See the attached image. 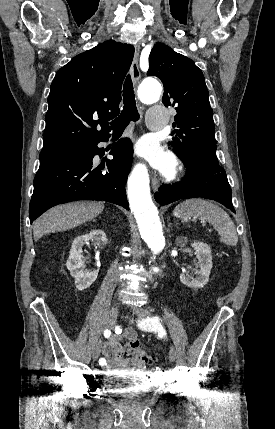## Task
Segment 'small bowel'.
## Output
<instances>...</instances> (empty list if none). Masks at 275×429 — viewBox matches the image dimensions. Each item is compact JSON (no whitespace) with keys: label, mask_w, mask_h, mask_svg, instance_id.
<instances>
[{"label":"small bowel","mask_w":275,"mask_h":429,"mask_svg":"<svg viewBox=\"0 0 275 429\" xmlns=\"http://www.w3.org/2000/svg\"><path fill=\"white\" fill-rule=\"evenodd\" d=\"M133 341H138L136 332L133 329H126L120 337H112L103 343L102 352L106 361L105 366L110 372L143 370L142 362L123 356L130 351V345Z\"/></svg>","instance_id":"small-bowel-1"}]
</instances>
